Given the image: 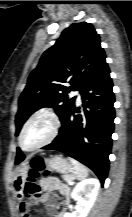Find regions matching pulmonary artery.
I'll list each match as a JSON object with an SVG mask.
<instances>
[{
  "mask_svg": "<svg viewBox=\"0 0 132 217\" xmlns=\"http://www.w3.org/2000/svg\"><path fill=\"white\" fill-rule=\"evenodd\" d=\"M75 95L77 96V102L80 103L81 102V96H80L79 91H76Z\"/></svg>",
  "mask_w": 132,
  "mask_h": 217,
  "instance_id": "e3ab8cb5",
  "label": "pulmonary artery"
}]
</instances>
